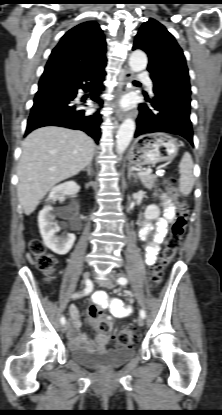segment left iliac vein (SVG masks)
<instances>
[{
	"label": "left iliac vein",
	"mask_w": 222,
	"mask_h": 415,
	"mask_svg": "<svg viewBox=\"0 0 222 415\" xmlns=\"http://www.w3.org/2000/svg\"><path fill=\"white\" fill-rule=\"evenodd\" d=\"M103 285L105 286V287H107V288H114V284L112 283V281H110V280H106L104 283H103ZM138 325L139 326H143L144 325V318H142V317H139L138 318Z\"/></svg>",
	"instance_id": "4c4485c4"
}]
</instances>
